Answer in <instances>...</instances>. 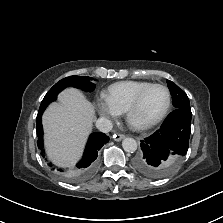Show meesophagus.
<instances>
[{"label": "esophagus", "mask_w": 223, "mask_h": 223, "mask_svg": "<svg viewBox=\"0 0 223 223\" xmlns=\"http://www.w3.org/2000/svg\"><path fill=\"white\" fill-rule=\"evenodd\" d=\"M113 138L115 141H121L122 139L125 138V135L124 134H114Z\"/></svg>", "instance_id": "esophagus-1"}]
</instances>
